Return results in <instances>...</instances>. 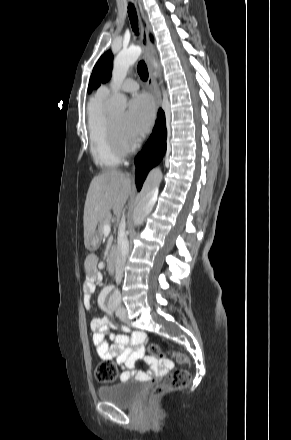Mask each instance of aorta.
<instances>
[{"mask_svg":"<svg viewBox=\"0 0 291 440\" xmlns=\"http://www.w3.org/2000/svg\"><path fill=\"white\" fill-rule=\"evenodd\" d=\"M141 49L131 46L120 51L114 59L112 69V94L106 103V110L109 114H122L126 107V97L120 93V87L127 76L128 70L139 58ZM158 195V187L148 181L139 196L138 203L134 209L133 220L136 226H140L145 217L152 211ZM119 302V294L114 291L109 297V303L115 305Z\"/></svg>","mask_w":291,"mask_h":440,"instance_id":"1","label":"aorta"}]
</instances>
